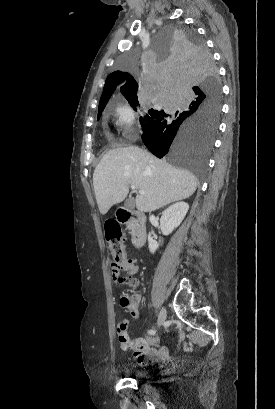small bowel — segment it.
Returning a JSON list of instances; mask_svg holds the SVG:
<instances>
[{"mask_svg": "<svg viewBox=\"0 0 275 409\" xmlns=\"http://www.w3.org/2000/svg\"><path fill=\"white\" fill-rule=\"evenodd\" d=\"M126 270L131 272L132 275L138 274L137 265L130 262L126 266ZM111 283L117 284L120 270L118 268H113L111 270ZM131 279L126 277L125 279L119 280L120 286H125L129 284ZM133 305V304H132ZM137 305V304H136ZM133 319H138L139 315L134 311L132 313ZM119 335V350L120 351H132L131 358L137 359L141 365H148L154 361H166L168 358V350L159 344V340L155 336H150L146 339H137L131 337L128 334L129 328L126 322H118L116 325Z\"/></svg>", "mask_w": 275, "mask_h": 409, "instance_id": "obj_1", "label": "small bowel"}]
</instances>
